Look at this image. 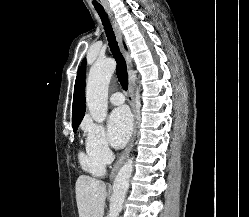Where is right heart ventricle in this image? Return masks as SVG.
Masks as SVG:
<instances>
[{
	"label": "right heart ventricle",
	"instance_id": "1",
	"mask_svg": "<svg viewBox=\"0 0 249 217\" xmlns=\"http://www.w3.org/2000/svg\"><path fill=\"white\" fill-rule=\"evenodd\" d=\"M80 163L82 168L92 175L100 176L104 173V166L91 155L80 153L79 155Z\"/></svg>",
	"mask_w": 249,
	"mask_h": 217
}]
</instances>
